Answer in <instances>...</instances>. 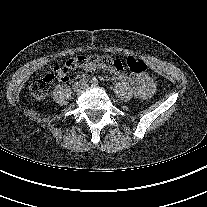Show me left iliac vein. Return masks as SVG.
<instances>
[{
  "instance_id": "left-iliac-vein-1",
  "label": "left iliac vein",
  "mask_w": 207,
  "mask_h": 207,
  "mask_svg": "<svg viewBox=\"0 0 207 207\" xmlns=\"http://www.w3.org/2000/svg\"><path fill=\"white\" fill-rule=\"evenodd\" d=\"M83 86H84V87H86V86H87V84H84Z\"/></svg>"
}]
</instances>
